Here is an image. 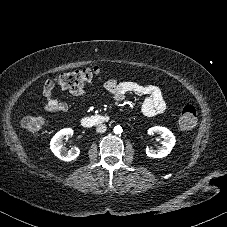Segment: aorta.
<instances>
[{
    "label": "aorta",
    "instance_id": "aorta-1",
    "mask_svg": "<svg viewBox=\"0 0 227 227\" xmlns=\"http://www.w3.org/2000/svg\"><path fill=\"white\" fill-rule=\"evenodd\" d=\"M122 131H123V130H122V127H121V126L118 125V126H115V127H114V133H115V134H121Z\"/></svg>",
    "mask_w": 227,
    "mask_h": 227
}]
</instances>
